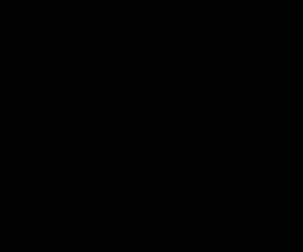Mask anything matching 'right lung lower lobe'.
<instances>
[{"mask_svg": "<svg viewBox=\"0 0 303 252\" xmlns=\"http://www.w3.org/2000/svg\"><path fill=\"white\" fill-rule=\"evenodd\" d=\"M80 136L84 143L79 154L83 159L90 178L94 182L110 179L115 174L117 168L109 164L105 158L97 156L94 146L95 144H105L107 141L106 138L92 128L82 129Z\"/></svg>", "mask_w": 303, "mask_h": 252, "instance_id": "right-lung-lower-lobe-1", "label": "right lung lower lobe"}]
</instances>
